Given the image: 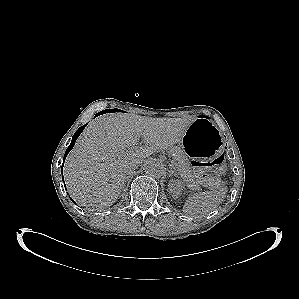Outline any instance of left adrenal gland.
Segmentation results:
<instances>
[{
	"mask_svg": "<svg viewBox=\"0 0 299 299\" xmlns=\"http://www.w3.org/2000/svg\"><path fill=\"white\" fill-rule=\"evenodd\" d=\"M176 176L177 174L174 172L173 168L171 167L170 168V171H169V176Z\"/></svg>",
	"mask_w": 299,
	"mask_h": 299,
	"instance_id": "left-adrenal-gland-1",
	"label": "left adrenal gland"
}]
</instances>
